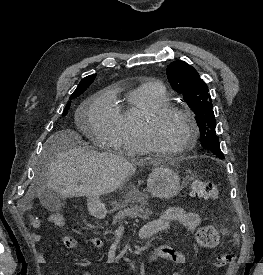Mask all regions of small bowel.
Returning <instances> with one entry per match:
<instances>
[{
	"instance_id": "c3829d8e",
	"label": "small bowel",
	"mask_w": 263,
	"mask_h": 275,
	"mask_svg": "<svg viewBox=\"0 0 263 275\" xmlns=\"http://www.w3.org/2000/svg\"><path fill=\"white\" fill-rule=\"evenodd\" d=\"M52 217H51V221H52ZM201 222H202V218L198 213L190 212L180 207L168 208L166 210H163L154 220L146 223L140 230V236L141 238H144V239L149 238L157 233H161L168 230L172 223H178L186 230L190 232H196V238H197V234L200 231L198 230V228ZM52 223L55 224L53 221ZM31 224L34 228H40L42 225L41 221L38 219H33L31 221ZM63 224H64V220L61 217V222L55 225L60 227ZM33 240L36 243H41L42 237L39 234H33ZM62 242L64 246L69 249H76L78 246L77 240L70 235L63 236ZM89 242L96 249H101L104 246L103 240L99 237H92L90 238ZM155 255L160 259L170 260L177 265V268L172 272L171 275H180L183 266L186 264L185 255L182 252L177 251L168 245H161L157 247L155 249ZM37 261L38 263L49 267V265L47 264L43 256L42 249H39V253L37 255ZM76 266L80 269H89L90 263L82 260V261H78L76 263ZM54 275H62V274L54 273ZM80 275H93V273H91L88 270H85V271H82Z\"/></svg>"
}]
</instances>
